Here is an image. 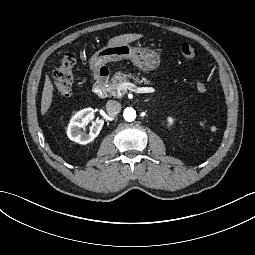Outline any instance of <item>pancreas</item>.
Masks as SVG:
<instances>
[{"mask_svg": "<svg viewBox=\"0 0 255 255\" xmlns=\"http://www.w3.org/2000/svg\"><path fill=\"white\" fill-rule=\"evenodd\" d=\"M129 79H133L135 83H145L149 84L150 82L146 78L139 79L135 75L129 73L125 74L123 72H116L114 76L111 78V82L109 83V87L107 88L108 93L114 97H118L117 95V86L121 83L129 82ZM126 91H122V94H125Z\"/></svg>", "mask_w": 255, "mask_h": 255, "instance_id": "cf45deb5", "label": "pancreas"}]
</instances>
